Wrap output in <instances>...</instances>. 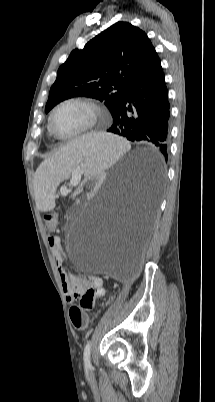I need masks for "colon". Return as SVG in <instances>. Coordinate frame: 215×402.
Instances as JSON below:
<instances>
[{
    "label": "colon",
    "instance_id": "1",
    "mask_svg": "<svg viewBox=\"0 0 215 402\" xmlns=\"http://www.w3.org/2000/svg\"><path fill=\"white\" fill-rule=\"evenodd\" d=\"M45 224L46 228L48 231L52 232L54 231L56 224H57V218L56 215L54 214H47L45 216ZM92 291H88L81 299H80V306H73L70 309V319L73 324V326L76 329H85L87 324H88V317L84 313L83 308H90L92 306L93 300H92Z\"/></svg>",
    "mask_w": 215,
    "mask_h": 402
}]
</instances>
